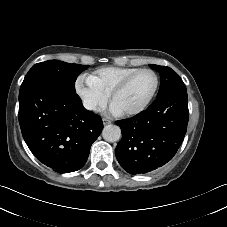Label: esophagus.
<instances>
[{"mask_svg":"<svg viewBox=\"0 0 227 227\" xmlns=\"http://www.w3.org/2000/svg\"><path fill=\"white\" fill-rule=\"evenodd\" d=\"M103 123H104V125H109V124L112 123V120L111 119H108V118H104L103 119Z\"/></svg>","mask_w":227,"mask_h":227,"instance_id":"34e87169","label":"esophagus"}]
</instances>
